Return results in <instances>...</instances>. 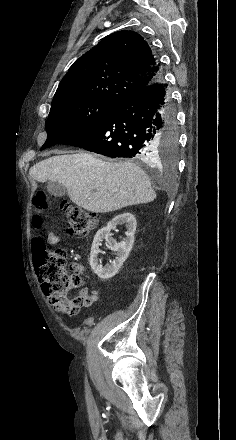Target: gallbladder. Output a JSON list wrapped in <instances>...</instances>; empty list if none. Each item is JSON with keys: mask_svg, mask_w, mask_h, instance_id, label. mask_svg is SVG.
I'll return each mask as SVG.
<instances>
[{"mask_svg": "<svg viewBox=\"0 0 236 440\" xmlns=\"http://www.w3.org/2000/svg\"><path fill=\"white\" fill-rule=\"evenodd\" d=\"M47 190L55 197H62L66 194V187L58 182L48 181Z\"/></svg>", "mask_w": 236, "mask_h": 440, "instance_id": "gallbladder-1", "label": "gallbladder"}]
</instances>
